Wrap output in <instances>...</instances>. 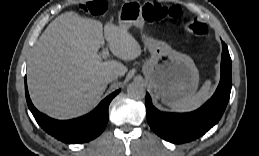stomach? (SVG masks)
<instances>
[{
	"label": "stomach",
	"instance_id": "0dacf381",
	"mask_svg": "<svg viewBox=\"0 0 259 156\" xmlns=\"http://www.w3.org/2000/svg\"><path fill=\"white\" fill-rule=\"evenodd\" d=\"M142 26L141 12L134 3H125L119 14V27ZM145 45L151 57L143 66L146 80L163 103L175 102L192 96L199 84V72L190 56L173 50L165 42L147 38Z\"/></svg>",
	"mask_w": 259,
	"mask_h": 156
}]
</instances>
